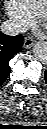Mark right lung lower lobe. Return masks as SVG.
Instances as JSON below:
<instances>
[{
    "mask_svg": "<svg viewBox=\"0 0 47 129\" xmlns=\"http://www.w3.org/2000/svg\"><path fill=\"white\" fill-rule=\"evenodd\" d=\"M22 45V36H8L0 32V85L9 75L10 59L22 50Z\"/></svg>",
    "mask_w": 47,
    "mask_h": 129,
    "instance_id": "1",
    "label": "right lung lower lobe"
}]
</instances>
